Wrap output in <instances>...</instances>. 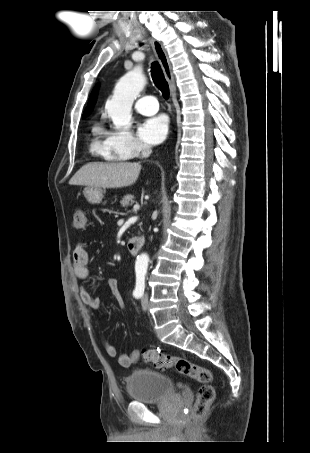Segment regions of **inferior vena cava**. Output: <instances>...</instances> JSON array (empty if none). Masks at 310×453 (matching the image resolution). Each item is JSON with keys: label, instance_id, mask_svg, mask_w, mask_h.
<instances>
[{"label": "inferior vena cava", "instance_id": "1", "mask_svg": "<svg viewBox=\"0 0 310 453\" xmlns=\"http://www.w3.org/2000/svg\"><path fill=\"white\" fill-rule=\"evenodd\" d=\"M151 152H152V150H151L150 146L144 145L142 147V157H144V158L149 157Z\"/></svg>", "mask_w": 310, "mask_h": 453}]
</instances>
